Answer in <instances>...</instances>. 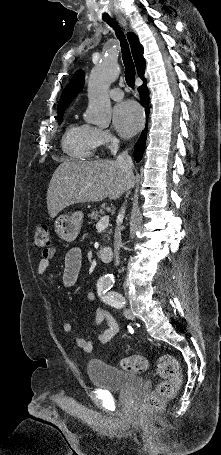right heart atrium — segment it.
Listing matches in <instances>:
<instances>
[{
    "label": "right heart atrium",
    "mask_w": 221,
    "mask_h": 455,
    "mask_svg": "<svg viewBox=\"0 0 221 455\" xmlns=\"http://www.w3.org/2000/svg\"><path fill=\"white\" fill-rule=\"evenodd\" d=\"M94 139L97 147H112V144L114 143V138L111 133L108 130L102 128H94Z\"/></svg>",
    "instance_id": "1"
}]
</instances>
